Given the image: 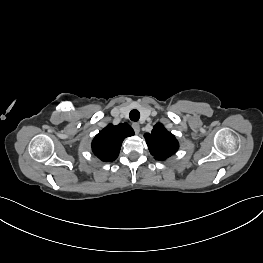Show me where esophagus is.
<instances>
[{"instance_id":"34e87169","label":"esophagus","mask_w":263,"mask_h":263,"mask_svg":"<svg viewBox=\"0 0 263 263\" xmlns=\"http://www.w3.org/2000/svg\"><path fill=\"white\" fill-rule=\"evenodd\" d=\"M132 128L134 129L136 134H139V132H140V125L138 123H136V122L133 123L132 124Z\"/></svg>"}]
</instances>
